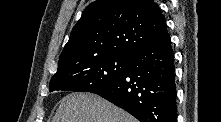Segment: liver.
<instances>
[{
    "mask_svg": "<svg viewBox=\"0 0 221 122\" xmlns=\"http://www.w3.org/2000/svg\"><path fill=\"white\" fill-rule=\"evenodd\" d=\"M53 122H136L126 111L92 93H71L65 96Z\"/></svg>",
    "mask_w": 221,
    "mask_h": 122,
    "instance_id": "obj_1",
    "label": "liver"
}]
</instances>
